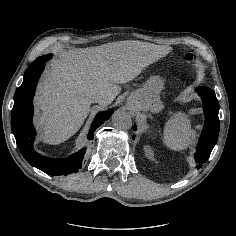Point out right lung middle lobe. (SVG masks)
<instances>
[{
	"instance_id": "obj_1",
	"label": "right lung middle lobe",
	"mask_w": 236,
	"mask_h": 236,
	"mask_svg": "<svg viewBox=\"0 0 236 236\" xmlns=\"http://www.w3.org/2000/svg\"><path fill=\"white\" fill-rule=\"evenodd\" d=\"M46 57H51V55H46V56H40V57H38L35 61H34V63L32 64V65H35V64H37V63H39V61L40 60H42V59H44V58H46ZM48 60V59H47Z\"/></svg>"
}]
</instances>
